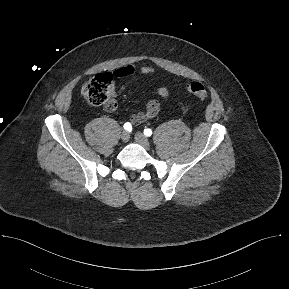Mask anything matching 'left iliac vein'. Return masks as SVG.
Returning a JSON list of instances; mask_svg holds the SVG:
<instances>
[{
	"label": "left iliac vein",
	"instance_id": "obj_1",
	"mask_svg": "<svg viewBox=\"0 0 289 289\" xmlns=\"http://www.w3.org/2000/svg\"><path fill=\"white\" fill-rule=\"evenodd\" d=\"M135 140L137 143H139L141 146H143L146 150L150 149V143L148 141V138L142 134L141 132H137L135 134Z\"/></svg>",
	"mask_w": 289,
	"mask_h": 289
}]
</instances>
